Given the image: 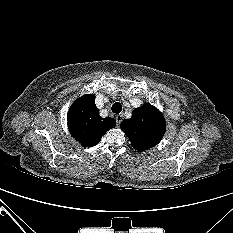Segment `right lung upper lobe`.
I'll return each mask as SVG.
<instances>
[{
	"label": "right lung upper lobe",
	"instance_id": "obj_1",
	"mask_svg": "<svg viewBox=\"0 0 233 233\" xmlns=\"http://www.w3.org/2000/svg\"><path fill=\"white\" fill-rule=\"evenodd\" d=\"M68 128L73 138L85 147L97 145L102 136L115 127L113 118H102L95 105L94 95H83L69 108Z\"/></svg>",
	"mask_w": 233,
	"mask_h": 233
}]
</instances>
